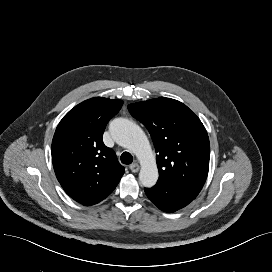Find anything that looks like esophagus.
Wrapping results in <instances>:
<instances>
[{
  "instance_id": "34e87169",
  "label": "esophagus",
  "mask_w": 272,
  "mask_h": 272,
  "mask_svg": "<svg viewBox=\"0 0 272 272\" xmlns=\"http://www.w3.org/2000/svg\"><path fill=\"white\" fill-rule=\"evenodd\" d=\"M130 170L134 173L138 172L140 169V166L138 163H133L129 166Z\"/></svg>"
}]
</instances>
